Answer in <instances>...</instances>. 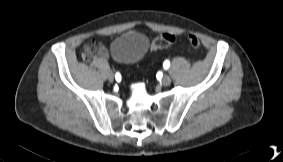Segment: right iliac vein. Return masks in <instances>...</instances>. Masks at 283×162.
<instances>
[{
  "label": "right iliac vein",
  "instance_id": "1",
  "mask_svg": "<svg viewBox=\"0 0 283 162\" xmlns=\"http://www.w3.org/2000/svg\"><path fill=\"white\" fill-rule=\"evenodd\" d=\"M108 80H109L110 82H113V81H114V74H113L112 72H109V73H108Z\"/></svg>",
  "mask_w": 283,
  "mask_h": 162
}]
</instances>
